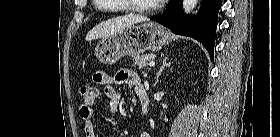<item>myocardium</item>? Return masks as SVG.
<instances>
[{
  "instance_id": "f54148a6",
  "label": "myocardium",
  "mask_w": 280,
  "mask_h": 137,
  "mask_svg": "<svg viewBox=\"0 0 280 137\" xmlns=\"http://www.w3.org/2000/svg\"><path fill=\"white\" fill-rule=\"evenodd\" d=\"M126 2H128L126 4V8L130 11H134V12H140V13H151L154 12L158 9V4H155L153 6H150L148 8H142L133 4H130V0H127Z\"/></svg>"
}]
</instances>
